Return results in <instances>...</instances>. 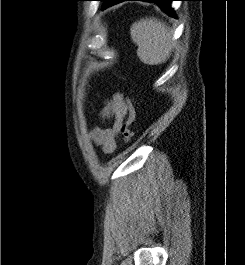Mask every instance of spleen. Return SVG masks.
Segmentation results:
<instances>
[{
  "instance_id": "3e777b00",
  "label": "spleen",
  "mask_w": 245,
  "mask_h": 265,
  "mask_svg": "<svg viewBox=\"0 0 245 265\" xmlns=\"http://www.w3.org/2000/svg\"><path fill=\"white\" fill-rule=\"evenodd\" d=\"M131 38L138 46L139 59L149 65L165 63L174 46L169 27L156 18L141 19L133 23Z\"/></svg>"
}]
</instances>
